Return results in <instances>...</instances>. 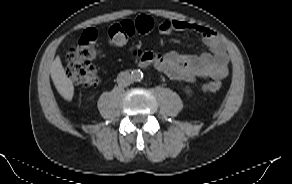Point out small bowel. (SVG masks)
<instances>
[{"instance_id": "c3829d8e", "label": "small bowel", "mask_w": 292, "mask_h": 184, "mask_svg": "<svg viewBox=\"0 0 292 184\" xmlns=\"http://www.w3.org/2000/svg\"><path fill=\"white\" fill-rule=\"evenodd\" d=\"M155 27L164 35H169L174 31L195 32L202 37L208 49L207 52L198 55L178 52L157 55L146 52L142 58L154 63L160 72L173 80L187 82L207 77L223 79L227 75L229 57L224 44L212 29L178 19L162 20L155 23Z\"/></svg>"}]
</instances>
